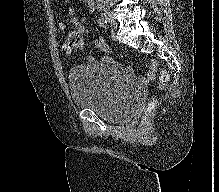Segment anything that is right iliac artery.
<instances>
[{
  "label": "right iliac artery",
  "instance_id": "82829eb1",
  "mask_svg": "<svg viewBox=\"0 0 219 192\" xmlns=\"http://www.w3.org/2000/svg\"><path fill=\"white\" fill-rule=\"evenodd\" d=\"M98 24L100 27L108 29L107 20L103 15H101V17L98 18Z\"/></svg>",
  "mask_w": 219,
  "mask_h": 192
}]
</instances>
